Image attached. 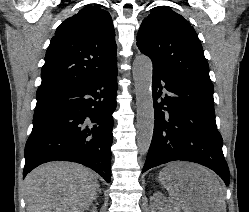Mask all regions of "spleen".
<instances>
[{
  "instance_id": "obj_1",
  "label": "spleen",
  "mask_w": 249,
  "mask_h": 212,
  "mask_svg": "<svg viewBox=\"0 0 249 212\" xmlns=\"http://www.w3.org/2000/svg\"><path fill=\"white\" fill-rule=\"evenodd\" d=\"M162 174H164V176H162ZM159 178H160L161 184H163V186H165V188H167V190H169V188H172V186H170V184H169L170 176H169L168 168H163L162 172H160V174H159ZM169 192H171V190H169Z\"/></svg>"
}]
</instances>
